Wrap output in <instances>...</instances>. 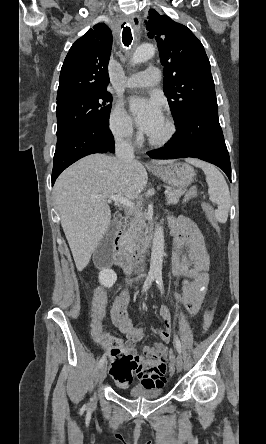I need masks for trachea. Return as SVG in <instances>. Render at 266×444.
Returning <instances> with one entry per match:
<instances>
[{
	"instance_id": "3493384b",
	"label": "trachea",
	"mask_w": 266,
	"mask_h": 444,
	"mask_svg": "<svg viewBox=\"0 0 266 444\" xmlns=\"http://www.w3.org/2000/svg\"><path fill=\"white\" fill-rule=\"evenodd\" d=\"M132 40H133V37H132L131 28L129 26L124 27L123 28V32H122L123 44L126 47H129V45L131 44Z\"/></svg>"
}]
</instances>
